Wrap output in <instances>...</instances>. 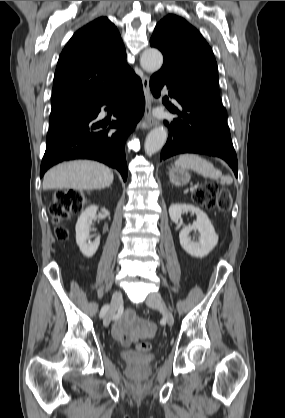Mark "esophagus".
Masks as SVG:
<instances>
[{"label": "esophagus", "mask_w": 285, "mask_h": 418, "mask_svg": "<svg viewBox=\"0 0 285 418\" xmlns=\"http://www.w3.org/2000/svg\"><path fill=\"white\" fill-rule=\"evenodd\" d=\"M142 86L145 96V112L142 121L138 124L137 128L148 129L153 126L159 125V121L153 117L152 114V98L149 86V78L147 75L142 77Z\"/></svg>", "instance_id": "1"}]
</instances>
